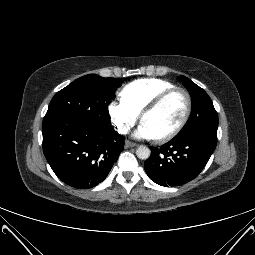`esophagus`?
Returning a JSON list of instances; mask_svg holds the SVG:
<instances>
[{
	"instance_id": "esophagus-1",
	"label": "esophagus",
	"mask_w": 255,
	"mask_h": 255,
	"mask_svg": "<svg viewBox=\"0 0 255 255\" xmlns=\"http://www.w3.org/2000/svg\"><path fill=\"white\" fill-rule=\"evenodd\" d=\"M136 145H137L136 143L131 142V141H129V140H126V141H125V147H126V148L135 147Z\"/></svg>"
}]
</instances>
